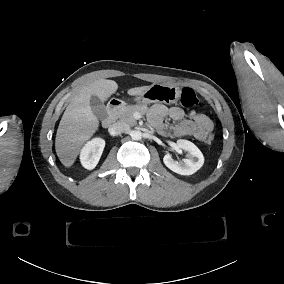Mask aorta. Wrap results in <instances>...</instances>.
<instances>
[{
  "label": "aorta",
  "mask_w": 284,
  "mask_h": 284,
  "mask_svg": "<svg viewBox=\"0 0 284 284\" xmlns=\"http://www.w3.org/2000/svg\"><path fill=\"white\" fill-rule=\"evenodd\" d=\"M131 137L133 140H140L142 138V132L139 130H134L131 133Z\"/></svg>",
  "instance_id": "1"
}]
</instances>
